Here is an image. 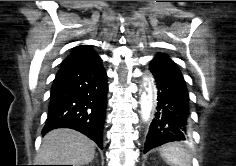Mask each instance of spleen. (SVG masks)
<instances>
[{"label": "spleen", "instance_id": "obj_1", "mask_svg": "<svg viewBox=\"0 0 236 166\" xmlns=\"http://www.w3.org/2000/svg\"><path fill=\"white\" fill-rule=\"evenodd\" d=\"M161 156L172 166H191V156L181 145L171 144L163 147Z\"/></svg>", "mask_w": 236, "mask_h": 166}]
</instances>
